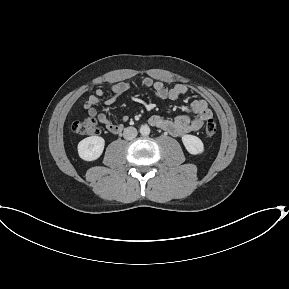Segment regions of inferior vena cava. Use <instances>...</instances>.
Masks as SVG:
<instances>
[{"label":"inferior vena cava","instance_id":"1","mask_svg":"<svg viewBox=\"0 0 289 289\" xmlns=\"http://www.w3.org/2000/svg\"><path fill=\"white\" fill-rule=\"evenodd\" d=\"M137 136V129L134 127H127L123 131V137L126 140H132Z\"/></svg>","mask_w":289,"mask_h":289}]
</instances>
